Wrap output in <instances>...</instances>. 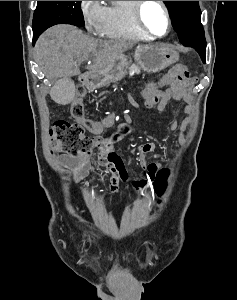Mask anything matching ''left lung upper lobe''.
<instances>
[{"mask_svg":"<svg viewBox=\"0 0 237 300\" xmlns=\"http://www.w3.org/2000/svg\"><path fill=\"white\" fill-rule=\"evenodd\" d=\"M180 42L194 48L203 62L206 56V40L201 24V10L198 1H164Z\"/></svg>","mask_w":237,"mask_h":300,"instance_id":"1","label":"left lung upper lobe"}]
</instances>
